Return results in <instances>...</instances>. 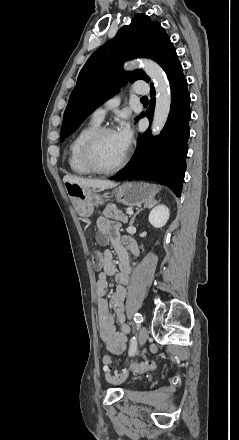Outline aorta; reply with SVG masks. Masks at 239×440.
Returning a JSON list of instances; mask_svg holds the SVG:
<instances>
[{"mask_svg":"<svg viewBox=\"0 0 239 440\" xmlns=\"http://www.w3.org/2000/svg\"><path fill=\"white\" fill-rule=\"evenodd\" d=\"M129 66H142L147 76L151 80H155L156 86V104L152 124V134L157 136L164 128L170 112L171 92L165 80V76L158 64L152 60H133L129 62Z\"/></svg>","mask_w":239,"mask_h":440,"instance_id":"aorta-1","label":"aorta"}]
</instances>
